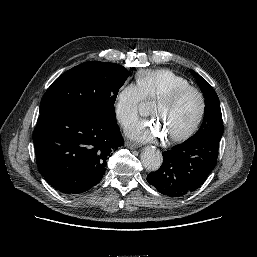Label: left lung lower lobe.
<instances>
[{"instance_id": "0a47b994", "label": "left lung lower lobe", "mask_w": 257, "mask_h": 257, "mask_svg": "<svg viewBox=\"0 0 257 257\" xmlns=\"http://www.w3.org/2000/svg\"><path fill=\"white\" fill-rule=\"evenodd\" d=\"M219 140H186L163 152V164L147 176L160 193L180 197L199 188L216 166Z\"/></svg>"}]
</instances>
